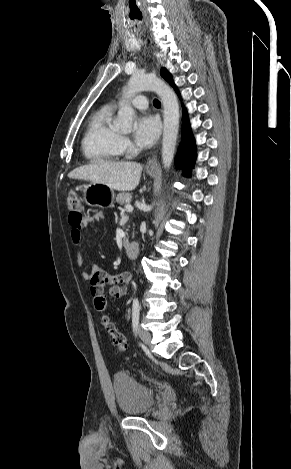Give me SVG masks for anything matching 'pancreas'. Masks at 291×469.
<instances>
[{
  "label": "pancreas",
  "instance_id": "cf45deb5",
  "mask_svg": "<svg viewBox=\"0 0 291 469\" xmlns=\"http://www.w3.org/2000/svg\"><path fill=\"white\" fill-rule=\"evenodd\" d=\"M131 199H132L131 193H120L116 197V202H118L120 205H123L125 203H129Z\"/></svg>",
  "mask_w": 291,
  "mask_h": 469
}]
</instances>
